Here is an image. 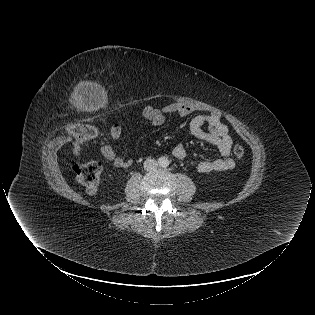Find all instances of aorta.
<instances>
[{
	"instance_id": "762f6f07",
	"label": "aorta",
	"mask_w": 315,
	"mask_h": 315,
	"mask_svg": "<svg viewBox=\"0 0 315 315\" xmlns=\"http://www.w3.org/2000/svg\"><path fill=\"white\" fill-rule=\"evenodd\" d=\"M159 165L163 168L167 167L169 165V160L165 157H161L159 159Z\"/></svg>"
}]
</instances>
